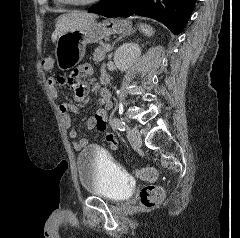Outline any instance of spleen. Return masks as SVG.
<instances>
[{
  "label": "spleen",
  "instance_id": "spleen-1",
  "mask_svg": "<svg viewBox=\"0 0 240 238\" xmlns=\"http://www.w3.org/2000/svg\"><path fill=\"white\" fill-rule=\"evenodd\" d=\"M139 30L141 33H143L145 36H152L154 34L153 28L147 24H140Z\"/></svg>",
  "mask_w": 240,
  "mask_h": 238
}]
</instances>
